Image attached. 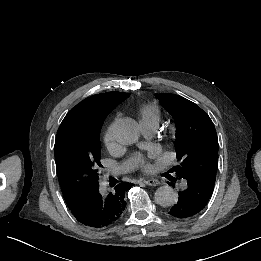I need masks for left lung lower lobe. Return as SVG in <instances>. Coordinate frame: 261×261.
Listing matches in <instances>:
<instances>
[{"mask_svg":"<svg viewBox=\"0 0 261 261\" xmlns=\"http://www.w3.org/2000/svg\"><path fill=\"white\" fill-rule=\"evenodd\" d=\"M180 177L185 180V184L179 192L177 204L170 209L169 214L177 218H187L196 215L207 205L215 182L191 173Z\"/></svg>","mask_w":261,"mask_h":261,"instance_id":"0a47b994","label":"left lung lower lobe"}]
</instances>
